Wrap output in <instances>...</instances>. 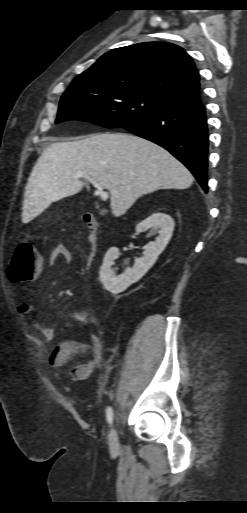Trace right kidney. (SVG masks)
<instances>
[{
  "label": "right kidney",
  "instance_id": "obj_1",
  "mask_svg": "<svg viewBox=\"0 0 247 513\" xmlns=\"http://www.w3.org/2000/svg\"><path fill=\"white\" fill-rule=\"evenodd\" d=\"M174 221L171 216L164 213H154L136 226V231L141 232L151 228L152 234H158L155 241L149 242L143 247V256L137 258L132 268L116 276L111 266L119 256V249L112 247L106 253L103 265L100 269V280L106 290L113 294L127 289L132 283L141 279L153 266L158 256L167 246L174 229Z\"/></svg>",
  "mask_w": 247,
  "mask_h": 513
}]
</instances>
